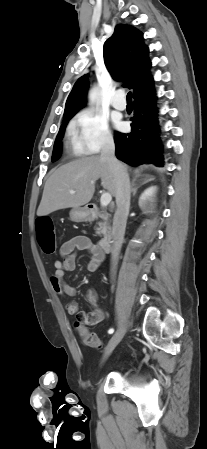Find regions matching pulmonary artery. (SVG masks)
Returning a JSON list of instances; mask_svg holds the SVG:
<instances>
[{
	"mask_svg": "<svg viewBox=\"0 0 207 449\" xmlns=\"http://www.w3.org/2000/svg\"><path fill=\"white\" fill-rule=\"evenodd\" d=\"M112 106L118 110H124L126 108V101L124 98L123 91H117L112 100H111Z\"/></svg>",
	"mask_w": 207,
	"mask_h": 449,
	"instance_id": "1",
	"label": "pulmonary artery"
}]
</instances>
